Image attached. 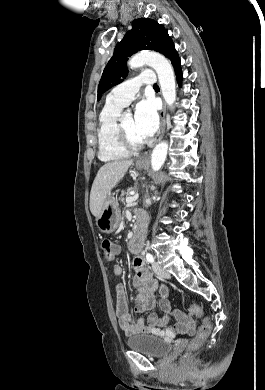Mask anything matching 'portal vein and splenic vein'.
Instances as JSON below:
<instances>
[{"label": "portal vein and splenic vein", "instance_id": "1", "mask_svg": "<svg viewBox=\"0 0 265 390\" xmlns=\"http://www.w3.org/2000/svg\"><path fill=\"white\" fill-rule=\"evenodd\" d=\"M138 197H139L138 193H137V194H134L133 196L127 197V198H126L127 204H130V203H132V202H135V201L138 199Z\"/></svg>", "mask_w": 265, "mask_h": 390}]
</instances>
